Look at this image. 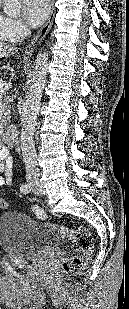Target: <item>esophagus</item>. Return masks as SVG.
I'll use <instances>...</instances> for the list:
<instances>
[{
  "label": "esophagus",
  "mask_w": 129,
  "mask_h": 309,
  "mask_svg": "<svg viewBox=\"0 0 129 309\" xmlns=\"http://www.w3.org/2000/svg\"><path fill=\"white\" fill-rule=\"evenodd\" d=\"M55 15V7L52 5V9L50 12V15L48 17V20L46 23L41 27V29L34 35V37L31 39V41L28 43L26 47V54L31 55L36 47L41 43V41L46 37L48 32L51 29L53 19Z\"/></svg>",
  "instance_id": "34e87169"
}]
</instances>
